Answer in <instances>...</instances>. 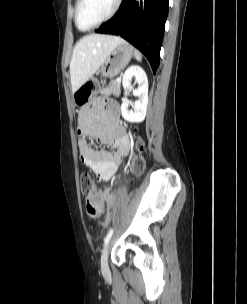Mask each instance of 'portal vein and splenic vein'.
Masks as SVG:
<instances>
[{
    "label": "portal vein and splenic vein",
    "instance_id": "1",
    "mask_svg": "<svg viewBox=\"0 0 247 304\" xmlns=\"http://www.w3.org/2000/svg\"><path fill=\"white\" fill-rule=\"evenodd\" d=\"M116 81H118V82L121 81V77H118V78L116 79Z\"/></svg>",
    "mask_w": 247,
    "mask_h": 304
}]
</instances>
